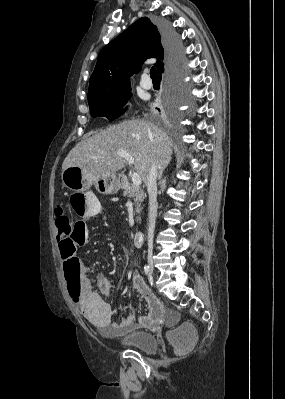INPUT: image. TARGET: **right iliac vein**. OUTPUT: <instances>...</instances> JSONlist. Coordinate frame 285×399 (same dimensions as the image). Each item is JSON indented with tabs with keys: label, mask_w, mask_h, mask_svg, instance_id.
<instances>
[{
	"label": "right iliac vein",
	"mask_w": 285,
	"mask_h": 399,
	"mask_svg": "<svg viewBox=\"0 0 285 399\" xmlns=\"http://www.w3.org/2000/svg\"><path fill=\"white\" fill-rule=\"evenodd\" d=\"M147 261H148V265L150 267V272H151V275H152L153 271H154V260H153V257H152V253L148 254Z\"/></svg>",
	"instance_id": "1"
}]
</instances>
